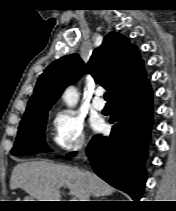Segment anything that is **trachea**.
<instances>
[{"label": "trachea", "mask_w": 176, "mask_h": 211, "mask_svg": "<svg viewBox=\"0 0 176 211\" xmlns=\"http://www.w3.org/2000/svg\"><path fill=\"white\" fill-rule=\"evenodd\" d=\"M104 98H105V100H106L107 102H110V101H111V94H110L109 92H106V93L104 94Z\"/></svg>", "instance_id": "1"}]
</instances>
